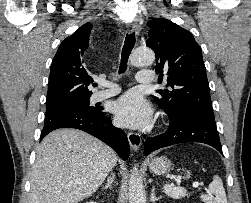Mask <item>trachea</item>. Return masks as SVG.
I'll return each mask as SVG.
<instances>
[{
  "instance_id": "3493384b",
  "label": "trachea",
  "mask_w": 251,
  "mask_h": 203,
  "mask_svg": "<svg viewBox=\"0 0 251 203\" xmlns=\"http://www.w3.org/2000/svg\"><path fill=\"white\" fill-rule=\"evenodd\" d=\"M135 33L129 34L125 38L124 46L122 49L121 63L119 68V73H124L127 69L128 57L135 45Z\"/></svg>"
}]
</instances>
